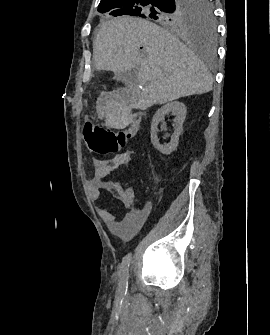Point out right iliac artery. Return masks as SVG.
Instances as JSON below:
<instances>
[{
	"label": "right iliac artery",
	"instance_id": "82829eb1",
	"mask_svg": "<svg viewBox=\"0 0 270 335\" xmlns=\"http://www.w3.org/2000/svg\"><path fill=\"white\" fill-rule=\"evenodd\" d=\"M131 260V253H128L122 261L120 270V285L119 290L122 294L126 293L128 287V268Z\"/></svg>",
	"mask_w": 270,
	"mask_h": 335
}]
</instances>
